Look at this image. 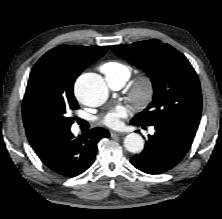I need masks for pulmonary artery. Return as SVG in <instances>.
<instances>
[{"instance_id": "obj_1", "label": "pulmonary artery", "mask_w": 222, "mask_h": 219, "mask_svg": "<svg viewBox=\"0 0 222 219\" xmlns=\"http://www.w3.org/2000/svg\"><path fill=\"white\" fill-rule=\"evenodd\" d=\"M107 83L109 87L113 90H118L122 88L125 84V80L122 77H108L106 78ZM151 132H153V129H151Z\"/></svg>"}]
</instances>
